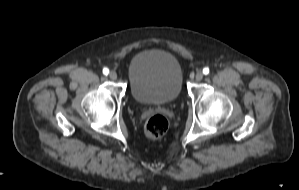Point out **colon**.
Instances as JSON below:
<instances>
[{
	"instance_id": "5ec220e1",
	"label": "colon",
	"mask_w": 299,
	"mask_h": 190,
	"mask_svg": "<svg viewBox=\"0 0 299 190\" xmlns=\"http://www.w3.org/2000/svg\"><path fill=\"white\" fill-rule=\"evenodd\" d=\"M168 130V121L162 115H153L144 126L145 134L150 139H160Z\"/></svg>"
}]
</instances>
